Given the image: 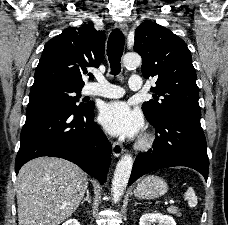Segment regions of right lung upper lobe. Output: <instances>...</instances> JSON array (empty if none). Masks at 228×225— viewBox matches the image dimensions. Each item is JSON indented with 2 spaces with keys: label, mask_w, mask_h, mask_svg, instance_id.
<instances>
[{
  "label": "right lung upper lobe",
  "mask_w": 228,
  "mask_h": 225,
  "mask_svg": "<svg viewBox=\"0 0 228 225\" xmlns=\"http://www.w3.org/2000/svg\"><path fill=\"white\" fill-rule=\"evenodd\" d=\"M105 36L89 22L69 27L45 45L35 71L34 85L63 83L82 88L86 67H98L104 59ZM90 78L93 75L89 73Z\"/></svg>",
  "instance_id": "1"
}]
</instances>
